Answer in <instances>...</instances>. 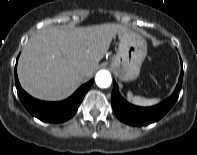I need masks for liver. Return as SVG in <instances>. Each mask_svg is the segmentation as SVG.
<instances>
[{
    "label": "liver",
    "instance_id": "1",
    "mask_svg": "<svg viewBox=\"0 0 197 155\" xmlns=\"http://www.w3.org/2000/svg\"><path fill=\"white\" fill-rule=\"evenodd\" d=\"M124 31L128 29L114 23L67 31L53 26L40 30L30 37L20 55L21 86L41 100L67 98L94 74L112 39Z\"/></svg>",
    "mask_w": 197,
    "mask_h": 155
}]
</instances>
